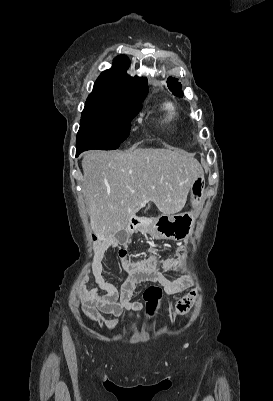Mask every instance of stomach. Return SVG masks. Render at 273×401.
Segmentation results:
<instances>
[{"label": "stomach", "instance_id": "0dacf381", "mask_svg": "<svg viewBox=\"0 0 273 401\" xmlns=\"http://www.w3.org/2000/svg\"><path fill=\"white\" fill-rule=\"evenodd\" d=\"M205 178L197 176L190 188V203L193 209H198L204 203ZM196 215L194 211L180 215H160L151 221L143 233H148L153 239H172L185 241L194 231Z\"/></svg>", "mask_w": 273, "mask_h": 401}]
</instances>
